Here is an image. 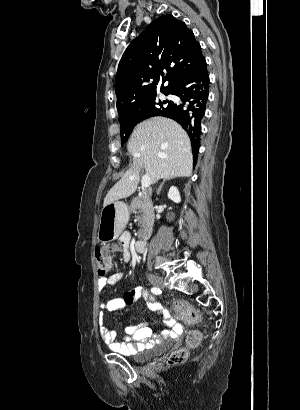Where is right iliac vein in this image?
<instances>
[{"mask_svg":"<svg viewBox=\"0 0 300 410\" xmlns=\"http://www.w3.org/2000/svg\"><path fill=\"white\" fill-rule=\"evenodd\" d=\"M147 278L152 285L156 287H163V279L160 276L148 274Z\"/></svg>","mask_w":300,"mask_h":410,"instance_id":"obj_1","label":"right iliac vein"}]
</instances>
